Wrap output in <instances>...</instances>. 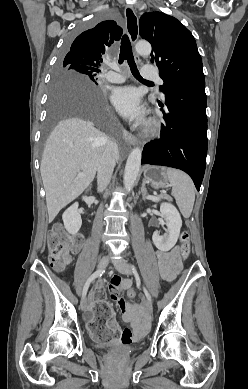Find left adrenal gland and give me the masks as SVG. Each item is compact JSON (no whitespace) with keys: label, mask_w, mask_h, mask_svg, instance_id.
Returning a JSON list of instances; mask_svg holds the SVG:
<instances>
[{"label":"left adrenal gland","mask_w":248,"mask_h":389,"mask_svg":"<svg viewBox=\"0 0 248 389\" xmlns=\"http://www.w3.org/2000/svg\"><path fill=\"white\" fill-rule=\"evenodd\" d=\"M140 193L142 194L143 199L147 198L148 191H147V189L145 187V180H143V182H142Z\"/></svg>","instance_id":"left-adrenal-gland-1"}]
</instances>
